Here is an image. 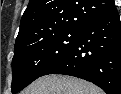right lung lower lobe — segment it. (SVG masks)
Returning a JSON list of instances; mask_svg holds the SVG:
<instances>
[{
	"instance_id": "1",
	"label": "right lung lower lobe",
	"mask_w": 121,
	"mask_h": 94,
	"mask_svg": "<svg viewBox=\"0 0 121 94\" xmlns=\"http://www.w3.org/2000/svg\"><path fill=\"white\" fill-rule=\"evenodd\" d=\"M90 81L107 94H121V22L116 9L85 22L73 48L43 74Z\"/></svg>"
}]
</instances>
